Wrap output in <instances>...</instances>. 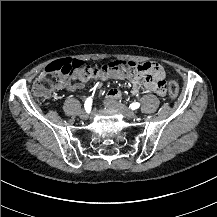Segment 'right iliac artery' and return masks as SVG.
Wrapping results in <instances>:
<instances>
[{
	"label": "right iliac artery",
	"instance_id": "1",
	"mask_svg": "<svg viewBox=\"0 0 217 217\" xmlns=\"http://www.w3.org/2000/svg\"><path fill=\"white\" fill-rule=\"evenodd\" d=\"M91 106H92V98L89 97L86 99L85 104H84L86 112L89 113L91 111Z\"/></svg>",
	"mask_w": 217,
	"mask_h": 217
}]
</instances>
